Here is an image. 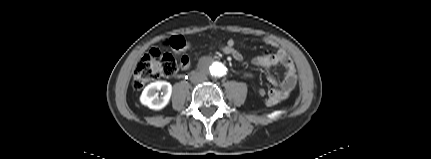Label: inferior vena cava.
Wrapping results in <instances>:
<instances>
[{
	"mask_svg": "<svg viewBox=\"0 0 431 159\" xmlns=\"http://www.w3.org/2000/svg\"><path fill=\"white\" fill-rule=\"evenodd\" d=\"M205 80H206V76L202 73H199V72L193 73L191 76V81L193 83H200V82H203Z\"/></svg>",
	"mask_w": 431,
	"mask_h": 159,
	"instance_id": "inferior-vena-cava-1",
	"label": "inferior vena cava"
}]
</instances>
